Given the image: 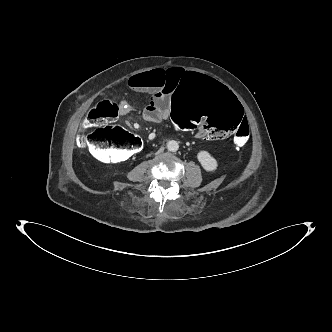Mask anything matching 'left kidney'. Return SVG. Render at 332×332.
Returning a JSON list of instances; mask_svg holds the SVG:
<instances>
[{
	"label": "left kidney",
	"mask_w": 332,
	"mask_h": 332,
	"mask_svg": "<svg viewBox=\"0 0 332 332\" xmlns=\"http://www.w3.org/2000/svg\"><path fill=\"white\" fill-rule=\"evenodd\" d=\"M197 159L200 162L201 166L207 172H213L217 169L218 163L217 160L208 152L200 151L197 154Z\"/></svg>",
	"instance_id": "obj_1"
}]
</instances>
